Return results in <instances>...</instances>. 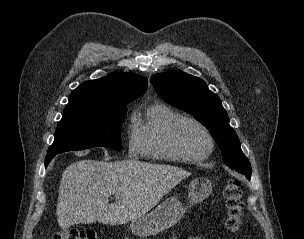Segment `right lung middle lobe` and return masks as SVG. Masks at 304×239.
<instances>
[{"instance_id": "1", "label": "right lung middle lobe", "mask_w": 304, "mask_h": 239, "mask_svg": "<svg viewBox=\"0 0 304 239\" xmlns=\"http://www.w3.org/2000/svg\"><path fill=\"white\" fill-rule=\"evenodd\" d=\"M126 110L122 106L116 109L64 113L47 155L96 146H107L120 151L119 129Z\"/></svg>"}]
</instances>
